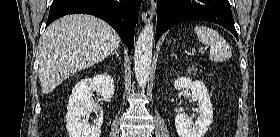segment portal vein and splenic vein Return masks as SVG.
I'll list each match as a JSON object with an SVG mask.
<instances>
[{
    "instance_id": "18ae733b",
    "label": "portal vein and splenic vein",
    "mask_w": 280,
    "mask_h": 137,
    "mask_svg": "<svg viewBox=\"0 0 280 137\" xmlns=\"http://www.w3.org/2000/svg\"><path fill=\"white\" fill-rule=\"evenodd\" d=\"M195 51H196L195 49L192 50L193 53H194Z\"/></svg>"
}]
</instances>
